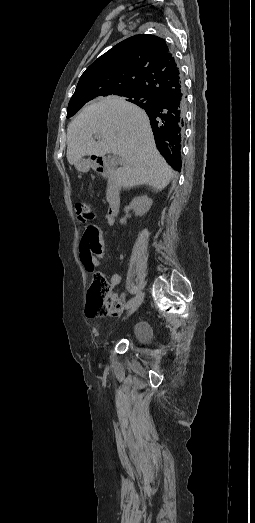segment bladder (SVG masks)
Instances as JSON below:
<instances>
[{"instance_id": "31cf9c89", "label": "bladder", "mask_w": 255, "mask_h": 523, "mask_svg": "<svg viewBox=\"0 0 255 523\" xmlns=\"http://www.w3.org/2000/svg\"><path fill=\"white\" fill-rule=\"evenodd\" d=\"M150 322H141L139 323L135 329H134V332H133V337L134 339H139V340H148L149 338L152 337V333H151V330H150Z\"/></svg>"}]
</instances>
